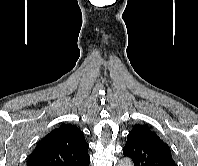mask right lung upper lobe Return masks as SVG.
I'll return each instance as SVG.
<instances>
[{
	"mask_svg": "<svg viewBox=\"0 0 198 166\" xmlns=\"http://www.w3.org/2000/svg\"><path fill=\"white\" fill-rule=\"evenodd\" d=\"M88 148L83 132L74 125L64 124L39 142L27 166H88Z\"/></svg>",
	"mask_w": 198,
	"mask_h": 166,
	"instance_id": "1",
	"label": "right lung upper lobe"
}]
</instances>
